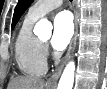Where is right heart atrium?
Returning a JSON list of instances; mask_svg holds the SVG:
<instances>
[{"label": "right heart atrium", "mask_w": 107, "mask_h": 89, "mask_svg": "<svg viewBox=\"0 0 107 89\" xmlns=\"http://www.w3.org/2000/svg\"><path fill=\"white\" fill-rule=\"evenodd\" d=\"M44 54H45V57L48 55V48H47V46L44 47Z\"/></svg>", "instance_id": "obj_1"}]
</instances>
